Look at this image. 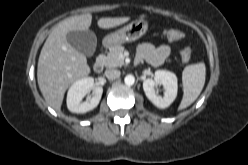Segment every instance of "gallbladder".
Instances as JSON below:
<instances>
[{"label":"gallbladder","mask_w":248,"mask_h":165,"mask_svg":"<svg viewBox=\"0 0 248 165\" xmlns=\"http://www.w3.org/2000/svg\"><path fill=\"white\" fill-rule=\"evenodd\" d=\"M68 43L78 52L90 57L94 54L97 37L93 31L90 30H73L67 33Z\"/></svg>","instance_id":"obj_1"}]
</instances>
